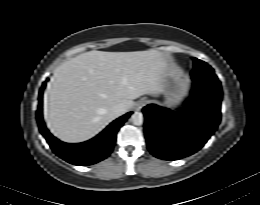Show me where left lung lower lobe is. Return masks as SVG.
<instances>
[{
	"label": "left lung lower lobe",
	"mask_w": 260,
	"mask_h": 205,
	"mask_svg": "<svg viewBox=\"0 0 260 205\" xmlns=\"http://www.w3.org/2000/svg\"><path fill=\"white\" fill-rule=\"evenodd\" d=\"M193 89L179 112L150 104L143 108L145 135L150 152L163 160L190 156L204 146L221 119L219 80L192 76Z\"/></svg>",
	"instance_id": "left-lung-lower-lobe-1"
}]
</instances>
